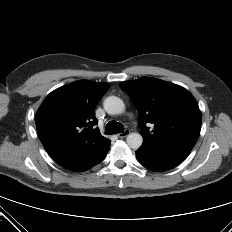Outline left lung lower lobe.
<instances>
[{
	"label": "left lung lower lobe",
	"mask_w": 232,
	"mask_h": 232,
	"mask_svg": "<svg viewBox=\"0 0 232 232\" xmlns=\"http://www.w3.org/2000/svg\"><path fill=\"white\" fill-rule=\"evenodd\" d=\"M193 146H150L142 144L136 151L138 161L152 171H166L178 166L190 154Z\"/></svg>",
	"instance_id": "1"
}]
</instances>
